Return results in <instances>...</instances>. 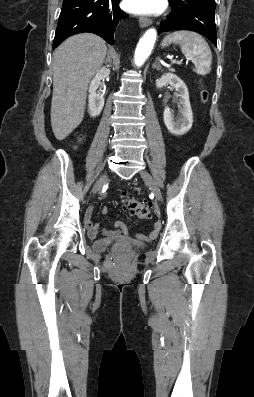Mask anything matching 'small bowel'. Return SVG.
<instances>
[{
	"instance_id": "c3829d8e",
	"label": "small bowel",
	"mask_w": 254,
	"mask_h": 397,
	"mask_svg": "<svg viewBox=\"0 0 254 397\" xmlns=\"http://www.w3.org/2000/svg\"><path fill=\"white\" fill-rule=\"evenodd\" d=\"M92 213H93V208L90 207L86 211L85 218H84V223H85V226H86V228L88 230V235H89L90 238H95L100 232H103V233H106V234H112V233H116V232L127 233L125 225L122 222H120V221H117L114 224V228H115L114 231L102 230L98 223L93 222ZM104 213L107 214L108 210L104 209ZM159 229H160V223L157 222V223H155L154 230L152 231V233L150 234L149 237L153 238L154 236H156V234L158 233Z\"/></svg>"
}]
</instances>
